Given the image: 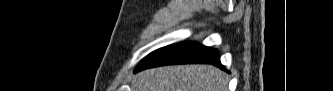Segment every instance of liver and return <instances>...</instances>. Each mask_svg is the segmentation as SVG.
<instances>
[{"mask_svg":"<svg viewBox=\"0 0 333 91\" xmlns=\"http://www.w3.org/2000/svg\"><path fill=\"white\" fill-rule=\"evenodd\" d=\"M136 91H227L228 77L210 65H180L153 68L138 73Z\"/></svg>","mask_w":333,"mask_h":91,"instance_id":"liver-1","label":"liver"}]
</instances>
